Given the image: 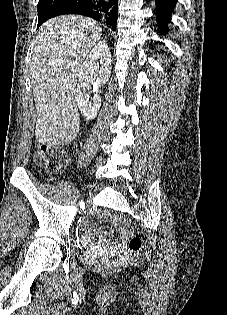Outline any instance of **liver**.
Returning <instances> with one entry per match:
<instances>
[{"mask_svg": "<svg viewBox=\"0 0 227 315\" xmlns=\"http://www.w3.org/2000/svg\"><path fill=\"white\" fill-rule=\"evenodd\" d=\"M101 35L99 23L80 15L55 17L39 28L30 71L37 110L35 136L40 144L52 147L75 139L77 78Z\"/></svg>", "mask_w": 227, "mask_h": 315, "instance_id": "liver-1", "label": "liver"}]
</instances>
